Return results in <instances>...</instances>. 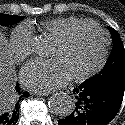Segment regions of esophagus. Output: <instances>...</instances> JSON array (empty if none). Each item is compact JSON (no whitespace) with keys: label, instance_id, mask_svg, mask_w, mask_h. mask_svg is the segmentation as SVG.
<instances>
[{"label":"esophagus","instance_id":"esophagus-1","mask_svg":"<svg viewBox=\"0 0 125 125\" xmlns=\"http://www.w3.org/2000/svg\"><path fill=\"white\" fill-rule=\"evenodd\" d=\"M37 95H39V96H48L49 94H50V92L48 91V92H35Z\"/></svg>","mask_w":125,"mask_h":125}]
</instances>
